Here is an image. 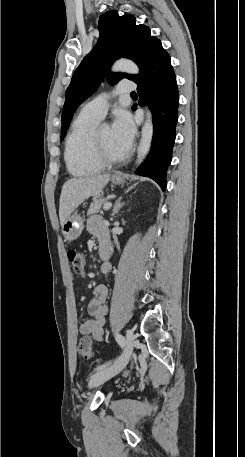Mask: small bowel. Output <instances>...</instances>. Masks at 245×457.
<instances>
[{"instance_id": "obj_1", "label": "small bowel", "mask_w": 245, "mask_h": 457, "mask_svg": "<svg viewBox=\"0 0 245 457\" xmlns=\"http://www.w3.org/2000/svg\"><path fill=\"white\" fill-rule=\"evenodd\" d=\"M88 231L98 240L99 250L106 249L110 254L112 252L110 236L105 222L99 216H92L87 222ZM102 274L111 272L109 263L103 264L101 267ZM82 277L86 278L87 273H82ZM108 289L105 285L100 284L94 288L93 297L88 303L87 310L89 318L83 320L79 325V332L84 336H91L97 341H101L104 336L105 317L108 312L106 299Z\"/></svg>"}]
</instances>
